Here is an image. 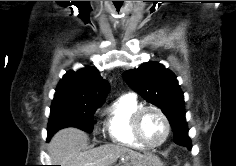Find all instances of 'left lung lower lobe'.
Masks as SVG:
<instances>
[{
    "instance_id": "obj_1",
    "label": "left lung lower lobe",
    "mask_w": 236,
    "mask_h": 166,
    "mask_svg": "<svg viewBox=\"0 0 236 166\" xmlns=\"http://www.w3.org/2000/svg\"><path fill=\"white\" fill-rule=\"evenodd\" d=\"M170 124L174 132L175 143L191 148V140L188 137L187 125L180 120Z\"/></svg>"
}]
</instances>
